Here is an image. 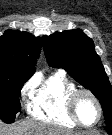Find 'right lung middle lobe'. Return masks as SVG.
<instances>
[{
    "mask_svg": "<svg viewBox=\"0 0 112 135\" xmlns=\"http://www.w3.org/2000/svg\"><path fill=\"white\" fill-rule=\"evenodd\" d=\"M28 79L29 77L23 74L0 77V119L5 123L14 122L16 114L20 112V91Z\"/></svg>",
    "mask_w": 112,
    "mask_h": 135,
    "instance_id": "1",
    "label": "right lung middle lobe"
}]
</instances>
